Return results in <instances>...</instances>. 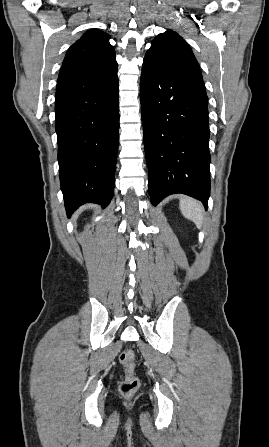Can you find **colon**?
<instances>
[{
    "label": "colon",
    "mask_w": 269,
    "mask_h": 447,
    "mask_svg": "<svg viewBox=\"0 0 269 447\" xmlns=\"http://www.w3.org/2000/svg\"><path fill=\"white\" fill-rule=\"evenodd\" d=\"M120 362L125 369L124 379L119 386L120 394L124 397L132 396L142 381L136 374L135 353L131 349H125L120 353Z\"/></svg>",
    "instance_id": "5ec220e1"
}]
</instances>
